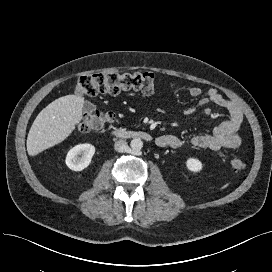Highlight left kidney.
I'll return each mask as SVG.
<instances>
[{
    "instance_id": "obj_1",
    "label": "left kidney",
    "mask_w": 272,
    "mask_h": 272,
    "mask_svg": "<svg viewBox=\"0 0 272 272\" xmlns=\"http://www.w3.org/2000/svg\"><path fill=\"white\" fill-rule=\"evenodd\" d=\"M187 168L192 172H199L202 170V162L197 158H189L186 161Z\"/></svg>"
}]
</instances>
